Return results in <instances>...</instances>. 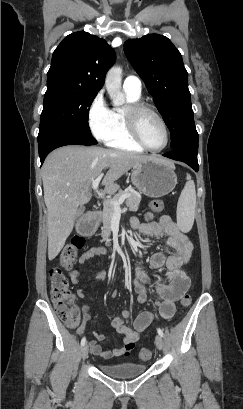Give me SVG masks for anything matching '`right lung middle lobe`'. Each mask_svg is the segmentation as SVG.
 Masks as SVG:
<instances>
[{"mask_svg": "<svg viewBox=\"0 0 243 409\" xmlns=\"http://www.w3.org/2000/svg\"><path fill=\"white\" fill-rule=\"evenodd\" d=\"M96 95L63 82H47L39 135L55 127L91 134L88 114Z\"/></svg>", "mask_w": 243, "mask_h": 409, "instance_id": "obj_1", "label": "right lung middle lobe"}]
</instances>
